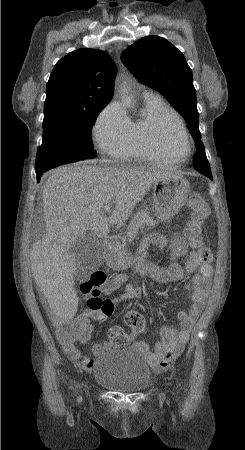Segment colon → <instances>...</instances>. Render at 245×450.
I'll use <instances>...</instances> for the list:
<instances>
[{"instance_id": "obj_1", "label": "colon", "mask_w": 245, "mask_h": 450, "mask_svg": "<svg viewBox=\"0 0 245 450\" xmlns=\"http://www.w3.org/2000/svg\"><path fill=\"white\" fill-rule=\"evenodd\" d=\"M187 208L191 213V218L187 222L183 232L188 244L199 255L203 262H211L213 255L211 250L203 243L202 225L204 220L210 213L209 206L205 199L198 192H192L187 198ZM123 281V277L119 274L107 275L103 271H91L85 278L81 288L84 292L93 294L90 300V307L94 310L105 308V303L101 301L97 295L99 293H109L119 283ZM125 323L130 328V332L126 333L120 328H113L109 332V337L117 346L130 344L136 336H138L145 328L146 322L142 314L138 311L130 310L125 315ZM59 337L65 341H79L83 339L88 331L89 325L84 321L58 319L52 322Z\"/></svg>"}]
</instances>
